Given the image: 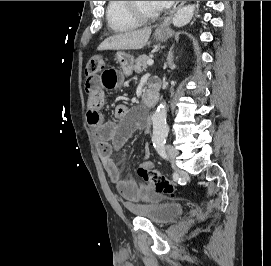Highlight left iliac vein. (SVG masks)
Wrapping results in <instances>:
<instances>
[{
    "mask_svg": "<svg viewBox=\"0 0 271 266\" xmlns=\"http://www.w3.org/2000/svg\"><path fill=\"white\" fill-rule=\"evenodd\" d=\"M167 153L170 162L173 164L176 161L177 156L179 155V152L177 149H175L173 146H169L167 148Z\"/></svg>",
    "mask_w": 271,
    "mask_h": 266,
    "instance_id": "left-iliac-vein-1",
    "label": "left iliac vein"
}]
</instances>
